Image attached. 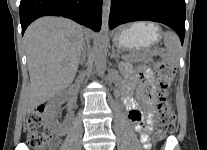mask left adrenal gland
I'll return each instance as SVG.
<instances>
[{
  "label": "left adrenal gland",
  "instance_id": "left-adrenal-gland-1",
  "mask_svg": "<svg viewBox=\"0 0 207 150\" xmlns=\"http://www.w3.org/2000/svg\"><path fill=\"white\" fill-rule=\"evenodd\" d=\"M111 58H114L116 63L119 64V55L116 54L115 50L113 49L112 54H111Z\"/></svg>",
  "mask_w": 207,
  "mask_h": 150
}]
</instances>
